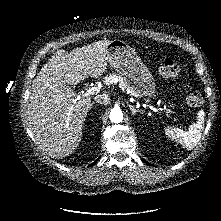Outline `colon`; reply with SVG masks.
I'll use <instances>...</instances> for the list:
<instances>
[{
  "label": "colon",
  "instance_id": "obj_1",
  "mask_svg": "<svg viewBox=\"0 0 221 221\" xmlns=\"http://www.w3.org/2000/svg\"><path fill=\"white\" fill-rule=\"evenodd\" d=\"M183 70L182 62L178 59H169L159 67V74L164 78L177 77ZM187 103L192 107L203 104V96L200 91L193 90L187 96Z\"/></svg>",
  "mask_w": 221,
  "mask_h": 221
}]
</instances>
